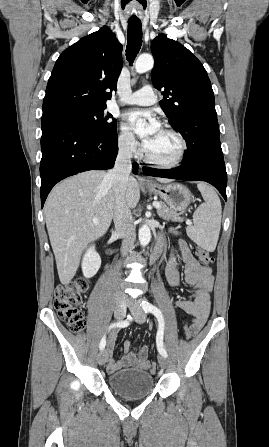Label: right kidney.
I'll list each match as a JSON object with an SVG mask.
<instances>
[{
  "label": "right kidney",
  "mask_w": 269,
  "mask_h": 447,
  "mask_svg": "<svg viewBox=\"0 0 269 447\" xmlns=\"http://www.w3.org/2000/svg\"><path fill=\"white\" fill-rule=\"evenodd\" d=\"M101 265V257L95 249V245H91L83 255L82 271L84 277H93L97 273Z\"/></svg>",
  "instance_id": "right-kidney-1"
}]
</instances>
